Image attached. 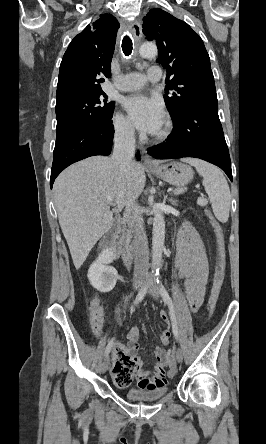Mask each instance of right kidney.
Instances as JSON below:
<instances>
[{
    "instance_id": "obj_1",
    "label": "right kidney",
    "mask_w": 266,
    "mask_h": 444,
    "mask_svg": "<svg viewBox=\"0 0 266 444\" xmlns=\"http://www.w3.org/2000/svg\"><path fill=\"white\" fill-rule=\"evenodd\" d=\"M114 257V250L105 248L88 270L90 284L102 293L111 291L116 285L118 273L109 266Z\"/></svg>"
}]
</instances>
